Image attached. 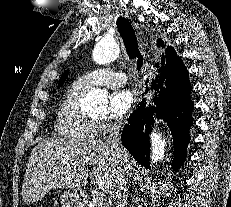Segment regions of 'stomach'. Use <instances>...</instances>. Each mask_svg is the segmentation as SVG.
<instances>
[{
	"label": "stomach",
	"mask_w": 231,
	"mask_h": 207,
	"mask_svg": "<svg viewBox=\"0 0 231 207\" xmlns=\"http://www.w3.org/2000/svg\"><path fill=\"white\" fill-rule=\"evenodd\" d=\"M60 203L63 207H78L81 204L79 192H64L60 197Z\"/></svg>",
	"instance_id": "0dacf381"
}]
</instances>
